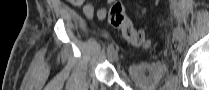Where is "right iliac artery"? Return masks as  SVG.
Segmentation results:
<instances>
[{
    "instance_id": "1",
    "label": "right iliac artery",
    "mask_w": 209,
    "mask_h": 90,
    "mask_svg": "<svg viewBox=\"0 0 209 90\" xmlns=\"http://www.w3.org/2000/svg\"><path fill=\"white\" fill-rule=\"evenodd\" d=\"M113 49H114V46H113V44L111 43V44L108 45L107 52L109 53V52L112 51Z\"/></svg>"
}]
</instances>
